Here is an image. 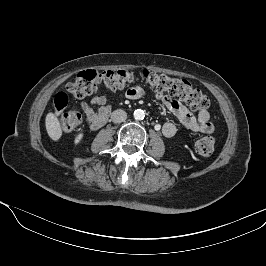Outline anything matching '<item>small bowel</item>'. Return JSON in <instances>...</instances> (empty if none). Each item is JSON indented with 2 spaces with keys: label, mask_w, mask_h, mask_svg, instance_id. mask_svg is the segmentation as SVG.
I'll return each instance as SVG.
<instances>
[{
  "label": "small bowel",
  "mask_w": 266,
  "mask_h": 266,
  "mask_svg": "<svg viewBox=\"0 0 266 266\" xmlns=\"http://www.w3.org/2000/svg\"><path fill=\"white\" fill-rule=\"evenodd\" d=\"M144 91L137 86L127 89L125 96L128 99H139ZM157 98L168 108L169 111L178 119V121L187 129L203 134H211L214 126L210 121L208 111L199 112L195 117L182 103L163 94L158 93ZM81 109L85 115L86 122L90 129L96 130L107 120L109 114V105L105 96H95L90 103L82 102ZM177 132L176 125L172 122H166L162 126V133L165 137L171 138Z\"/></svg>",
  "instance_id": "small-bowel-1"
}]
</instances>
